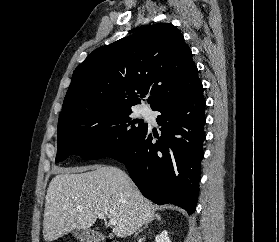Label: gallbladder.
Instances as JSON below:
<instances>
[{
	"label": "gallbladder",
	"instance_id": "1",
	"mask_svg": "<svg viewBox=\"0 0 279 242\" xmlns=\"http://www.w3.org/2000/svg\"><path fill=\"white\" fill-rule=\"evenodd\" d=\"M73 236L81 242H100L105 236L97 230L78 229L73 232Z\"/></svg>",
	"mask_w": 279,
	"mask_h": 242
}]
</instances>
